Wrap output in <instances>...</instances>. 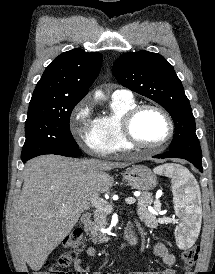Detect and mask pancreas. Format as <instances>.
Here are the masks:
<instances>
[{"instance_id":"pancreas-1","label":"pancreas","mask_w":215,"mask_h":274,"mask_svg":"<svg viewBox=\"0 0 215 274\" xmlns=\"http://www.w3.org/2000/svg\"><path fill=\"white\" fill-rule=\"evenodd\" d=\"M154 203V209L160 210L161 203L159 201H153L152 194L149 192H141L138 198L137 213L141 220L147 225L154 227L158 224V220L154 214L151 213L149 207ZM107 226V213L102 210H95L93 221L85 224V231L90 235V239L93 243L108 242L109 237L101 232V228Z\"/></svg>"}]
</instances>
